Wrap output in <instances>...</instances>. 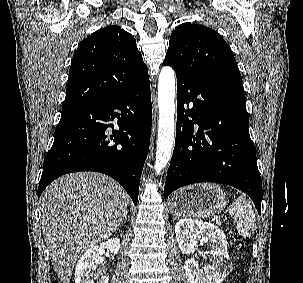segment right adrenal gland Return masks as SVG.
I'll return each instance as SVG.
<instances>
[{"label":"right adrenal gland","instance_id":"right-adrenal-gland-1","mask_svg":"<svg viewBox=\"0 0 303 283\" xmlns=\"http://www.w3.org/2000/svg\"><path fill=\"white\" fill-rule=\"evenodd\" d=\"M127 208L125 209L123 215L121 216L120 220H119V223H118V226H120L121 222L123 219L127 220Z\"/></svg>","mask_w":303,"mask_h":283}]
</instances>
